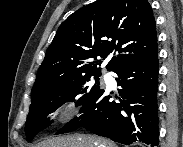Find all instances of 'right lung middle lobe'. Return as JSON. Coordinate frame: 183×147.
Returning a JSON list of instances; mask_svg holds the SVG:
<instances>
[{
	"mask_svg": "<svg viewBox=\"0 0 183 147\" xmlns=\"http://www.w3.org/2000/svg\"><path fill=\"white\" fill-rule=\"evenodd\" d=\"M99 76L91 74L59 80L32 90V103L25 124L27 140L31 141L37 133L47 128L51 123L50 117L64 103L74 101L76 106H81L88 101L101 89Z\"/></svg>",
	"mask_w": 183,
	"mask_h": 147,
	"instance_id": "obj_1",
	"label": "right lung middle lobe"
}]
</instances>
